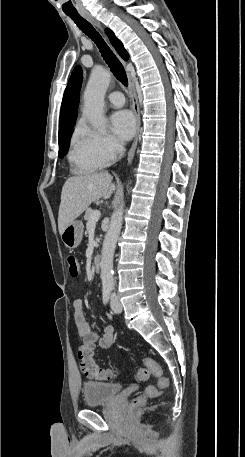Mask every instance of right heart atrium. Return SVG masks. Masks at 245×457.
<instances>
[{
  "label": "right heart atrium",
  "mask_w": 245,
  "mask_h": 457,
  "mask_svg": "<svg viewBox=\"0 0 245 457\" xmlns=\"http://www.w3.org/2000/svg\"><path fill=\"white\" fill-rule=\"evenodd\" d=\"M84 141L91 153L104 164L114 161L123 150L122 143L115 137L91 127L84 128Z\"/></svg>",
  "instance_id": "right-heart-atrium-1"
}]
</instances>
